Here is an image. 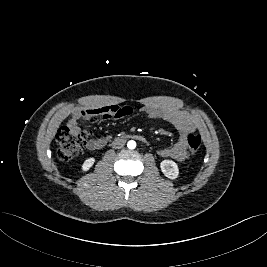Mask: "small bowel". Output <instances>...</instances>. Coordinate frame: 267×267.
<instances>
[{
    "instance_id": "obj_1",
    "label": "small bowel",
    "mask_w": 267,
    "mask_h": 267,
    "mask_svg": "<svg viewBox=\"0 0 267 267\" xmlns=\"http://www.w3.org/2000/svg\"><path fill=\"white\" fill-rule=\"evenodd\" d=\"M142 112L149 118L159 119L166 121L173 125L179 131V138L175 144L169 147H165L159 150L161 157H169L176 160H184L187 155V138L194 133L197 129L196 122L189 115L171 109H162L156 106H145L142 108ZM132 113V108L128 106H103L93 107L82 110H74L72 112V119L68 124L76 125L80 119L89 120L95 116H102L103 119L108 120L111 118L124 117ZM110 140L109 135H105L99 138L91 139L88 142V149L99 150L103 148Z\"/></svg>"
}]
</instances>
